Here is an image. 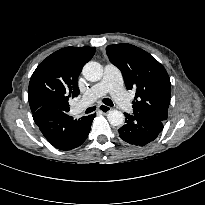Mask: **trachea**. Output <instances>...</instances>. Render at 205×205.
Instances as JSON below:
<instances>
[{
	"instance_id": "1",
	"label": "trachea",
	"mask_w": 205,
	"mask_h": 205,
	"mask_svg": "<svg viewBox=\"0 0 205 205\" xmlns=\"http://www.w3.org/2000/svg\"><path fill=\"white\" fill-rule=\"evenodd\" d=\"M103 103L106 104V105H108V106H113V105H114L113 102H112L109 98H104V99H103ZM94 110H95V107H90V108H88V109L86 110L85 113H91V112H93Z\"/></svg>"
}]
</instances>
